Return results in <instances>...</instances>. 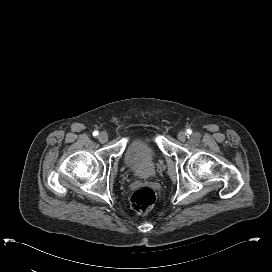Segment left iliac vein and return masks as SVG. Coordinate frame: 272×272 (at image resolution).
Listing matches in <instances>:
<instances>
[{
  "label": "left iliac vein",
  "mask_w": 272,
  "mask_h": 272,
  "mask_svg": "<svg viewBox=\"0 0 272 272\" xmlns=\"http://www.w3.org/2000/svg\"><path fill=\"white\" fill-rule=\"evenodd\" d=\"M178 139L181 141V142H185L186 141V138H187V134L186 132L184 131H180L177 135Z\"/></svg>",
  "instance_id": "left-iliac-vein-1"
}]
</instances>
